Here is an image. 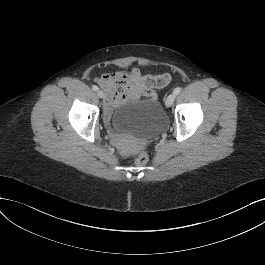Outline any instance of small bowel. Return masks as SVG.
Returning a JSON list of instances; mask_svg holds the SVG:
<instances>
[{
    "instance_id": "c3829d8e",
    "label": "small bowel",
    "mask_w": 265,
    "mask_h": 265,
    "mask_svg": "<svg viewBox=\"0 0 265 265\" xmlns=\"http://www.w3.org/2000/svg\"><path fill=\"white\" fill-rule=\"evenodd\" d=\"M116 64L126 68L128 62L119 59ZM171 80L169 74L149 75L138 68L122 69L104 73L96 82L105 92L104 112L108 117L113 109L131 99L156 98V89L167 85Z\"/></svg>"
}]
</instances>
